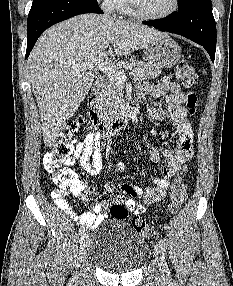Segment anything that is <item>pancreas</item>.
<instances>
[{"label":"pancreas","mask_w":233,"mask_h":286,"mask_svg":"<svg viewBox=\"0 0 233 286\" xmlns=\"http://www.w3.org/2000/svg\"><path fill=\"white\" fill-rule=\"evenodd\" d=\"M133 65L135 66L134 75L140 80L153 79L162 73L159 68H154L145 62L133 61ZM122 89V83L108 77V84L99 99V106L103 115H112L117 110L121 102Z\"/></svg>","instance_id":"1"}]
</instances>
